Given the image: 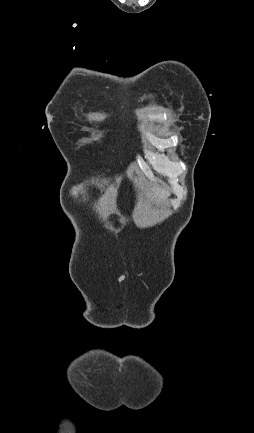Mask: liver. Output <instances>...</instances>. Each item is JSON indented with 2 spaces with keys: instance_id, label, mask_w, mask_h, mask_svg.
Segmentation results:
<instances>
[{
  "instance_id": "obj_1",
  "label": "liver",
  "mask_w": 254,
  "mask_h": 433,
  "mask_svg": "<svg viewBox=\"0 0 254 433\" xmlns=\"http://www.w3.org/2000/svg\"><path fill=\"white\" fill-rule=\"evenodd\" d=\"M152 192V199H154L156 202L159 203H165L170 193L166 191L165 189L159 187V186H153L151 188Z\"/></svg>"
}]
</instances>
